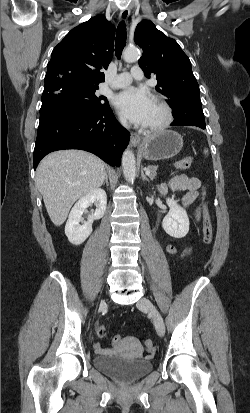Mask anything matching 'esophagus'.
I'll return each mask as SVG.
<instances>
[{"instance_id":"34e87169","label":"esophagus","mask_w":250,"mask_h":413,"mask_svg":"<svg viewBox=\"0 0 250 413\" xmlns=\"http://www.w3.org/2000/svg\"><path fill=\"white\" fill-rule=\"evenodd\" d=\"M130 15V9L125 8L119 14V21H126ZM140 136L137 133H131L130 145L136 147L140 142Z\"/></svg>"}]
</instances>
